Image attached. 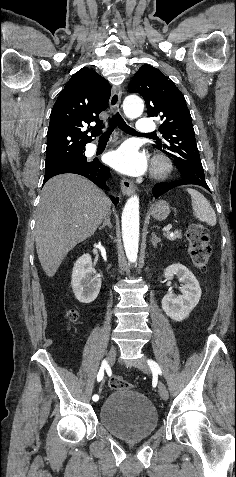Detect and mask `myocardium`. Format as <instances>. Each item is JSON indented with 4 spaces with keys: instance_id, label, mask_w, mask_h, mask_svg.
I'll return each instance as SVG.
<instances>
[{
    "instance_id": "1",
    "label": "myocardium",
    "mask_w": 236,
    "mask_h": 477,
    "mask_svg": "<svg viewBox=\"0 0 236 477\" xmlns=\"http://www.w3.org/2000/svg\"><path fill=\"white\" fill-rule=\"evenodd\" d=\"M172 169L171 160L163 154L156 155L152 161V175L161 178L169 174Z\"/></svg>"
}]
</instances>
